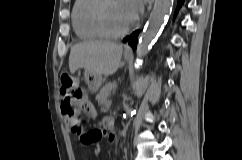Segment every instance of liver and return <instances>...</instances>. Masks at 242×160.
<instances>
[{
  "instance_id": "obj_1",
  "label": "liver",
  "mask_w": 242,
  "mask_h": 160,
  "mask_svg": "<svg viewBox=\"0 0 242 160\" xmlns=\"http://www.w3.org/2000/svg\"><path fill=\"white\" fill-rule=\"evenodd\" d=\"M123 45L108 41H87L74 45L69 55V69L79 68L99 76L113 75L120 66Z\"/></svg>"
}]
</instances>
